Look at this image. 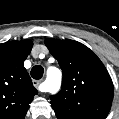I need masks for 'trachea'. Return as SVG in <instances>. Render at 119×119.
<instances>
[{"instance_id":"3493384b","label":"trachea","mask_w":119,"mask_h":119,"mask_svg":"<svg viewBox=\"0 0 119 119\" xmlns=\"http://www.w3.org/2000/svg\"><path fill=\"white\" fill-rule=\"evenodd\" d=\"M43 73H44V69L42 66L40 65H36L34 66L32 69H31V76L33 79H36V80H39L42 78L43 76Z\"/></svg>"}]
</instances>
